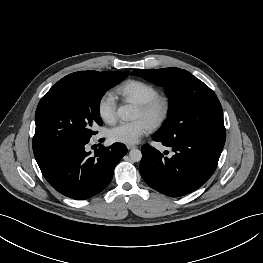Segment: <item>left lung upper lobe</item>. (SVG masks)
I'll use <instances>...</instances> for the list:
<instances>
[{"label": "left lung upper lobe", "instance_id": "1", "mask_svg": "<svg viewBox=\"0 0 263 263\" xmlns=\"http://www.w3.org/2000/svg\"><path fill=\"white\" fill-rule=\"evenodd\" d=\"M131 74L163 86L169 97V118L156 134L172 138L225 132L223 111L217 96L190 72L163 68L139 69Z\"/></svg>", "mask_w": 263, "mask_h": 263}]
</instances>
